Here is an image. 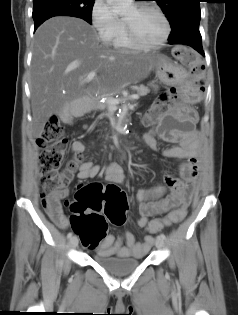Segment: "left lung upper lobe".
I'll use <instances>...</instances> for the list:
<instances>
[{
	"instance_id": "left-lung-upper-lobe-1",
	"label": "left lung upper lobe",
	"mask_w": 238,
	"mask_h": 315,
	"mask_svg": "<svg viewBox=\"0 0 238 315\" xmlns=\"http://www.w3.org/2000/svg\"><path fill=\"white\" fill-rule=\"evenodd\" d=\"M164 14L169 18L171 34L169 39L176 37L184 30L199 27L200 0H155Z\"/></svg>"
}]
</instances>
